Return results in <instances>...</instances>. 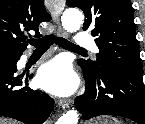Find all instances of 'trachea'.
Instances as JSON below:
<instances>
[{"instance_id":"3493384b","label":"trachea","mask_w":145,"mask_h":124,"mask_svg":"<svg viewBox=\"0 0 145 124\" xmlns=\"http://www.w3.org/2000/svg\"><path fill=\"white\" fill-rule=\"evenodd\" d=\"M28 42L35 47V51H46L54 42L64 48L72 50H85L74 43L68 41L63 37H56L54 35H47L40 39H30Z\"/></svg>"}]
</instances>
